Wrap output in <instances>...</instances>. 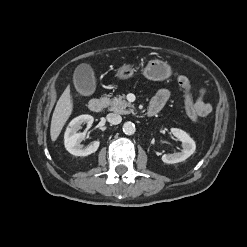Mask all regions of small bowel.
Segmentation results:
<instances>
[{
  "label": "small bowel",
  "mask_w": 247,
  "mask_h": 247,
  "mask_svg": "<svg viewBox=\"0 0 247 247\" xmlns=\"http://www.w3.org/2000/svg\"><path fill=\"white\" fill-rule=\"evenodd\" d=\"M204 90L200 91V95L195 103L197 109L200 111V116H206L211 111V106L204 101ZM172 97V92L169 89H160L152 98L149 108L154 109L157 113L164 107L167 101Z\"/></svg>",
  "instance_id": "1"
}]
</instances>
